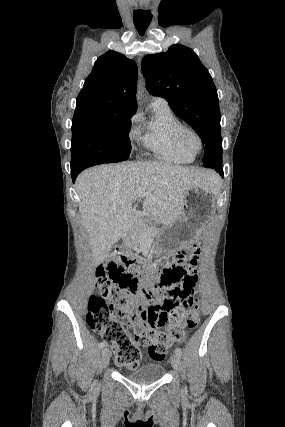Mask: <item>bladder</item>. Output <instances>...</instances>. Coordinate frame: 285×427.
Instances as JSON below:
<instances>
[{
	"label": "bladder",
	"mask_w": 285,
	"mask_h": 427,
	"mask_svg": "<svg viewBox=\"0 0 285 427\" xmlns=\"http://www.w3.org/2000/svg\"><path fill=\"white\" fill-rule=\"evenodd\" d=\"M165 372V368L160 363L145 364L136 371L127 374L126 379L139 384H150L158 382Z\"/></svg>",
	"instance_id": "obj_1"
}]
</instances>
